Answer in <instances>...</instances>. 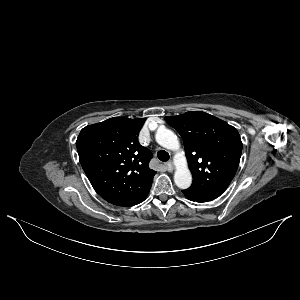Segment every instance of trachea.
Listing matches in <instances>:
<instances>
[{
    "label": "trachea",
    "instance_id": "obj_1",
    "mask_svg": "<svg viewBox=\"0 0 300 300\" xmlns=\"http://www.w3.org/2000/svg\"><path fill=\"white\" fill-rule=\"evenodd\" d=\"M157 157L160 161L162 162H166L169 160L170 156L169 154L165 151V150H160L158 153H157Z\"/></svg>",
    "mask_w": 300,
    "mask_h": 300
}]
</instances>
